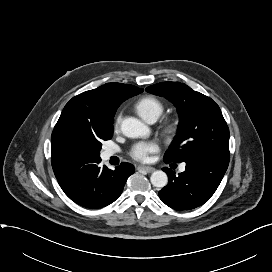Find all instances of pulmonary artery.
Returning a JSON list of instances; mask_svg holds the SVG:
<instances>
[{
	"mask_svg": "<svg viewBox=\"0 0 272 272\" xmlns=\"http://www.w3.org/2000/svg\"><path fill=\"white\" fill-rule=\"evenodd\" d=\"M154 121L155 120H152L150 122H154ZM114 154H115V152L113 150L107 149V150L104 151L103 156H104V158L108 159L111 156H113ZM179 169H180V171H184L185 170V165L182 164Z\"/></svg>",
	"mask_w": 272,
	"mask_h": 272,
	"instance_id": "pulmonary-artery-1",
	"label": "pulmonary artery"
}]
</instances>
